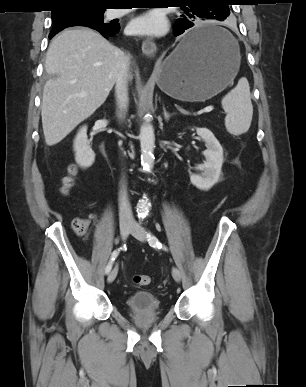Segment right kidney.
Returning a JSON list of instances; mask_svg holds the SVG:
<instances>
[{"label": "right kidney", "mask_w": 306, "mask_h": 387, "mask_svg": "<svg viewBox=\"0 0 306 387\" xmlns=\"http://www.w3.org/2000/svg\"><path fill=\"white\" fill-rule=\"evenodd\" d=\"M75 160L80 167H90L95 160V153L87 139V127L83 126L74 140Z\"/></svg>", "instance_id": "obj_1"}]
</instances>
